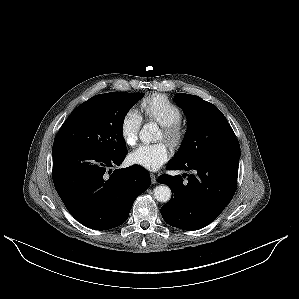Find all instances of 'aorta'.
I'll return each mask as SVG.
<instances>
[{
	"label": "aorta",
	"instance_id": "762f6f07",
	"mask_svg": "<svg viewBox=\"0 0 299 299\" xmlns=\"http://www.w3.org/2000/svg\"><path fill=\"white\" fill-rule=\"evenodd\" d=\"M159 135V128L153 122L145 124L139 134L141 141L144 143L157 141ZM171 194V189L166 185H159L154 189V197L159 202H168Z\"/></svg>",
	"mask_w": 299,
	"mask_h": 299
}]
</instances>
